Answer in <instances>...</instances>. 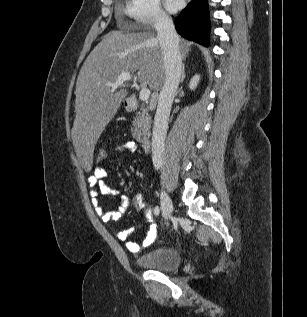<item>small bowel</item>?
<instances>
[{
  "label": "small bowel",
  "instance_id": "c3829d8e",
  "mask_svg": "<svg viewBox=\"0 0 307 317\" xmlns=\"http://www.w3.org/2000/svg\"><path fill=\"white\" fill-rule=\"evenodd\" d=\"M114 152L119 154H126V153H134L137 152L138 146L134 141H126L124 143L118 144L114 146ZM107 177V170L104 167L96 166L93 168L91 176L88 178V183L91 187V196H92V204L95 208V212L97 216L104 221L105 223H110L112 221L120 220L124 212L128 206V198L122 196L119 202V206L117 209L112 211H105L100 204L99 194L105 196H117L120 192L116 189L110 188L105 179ZM116 237L121 240L125 241L128 237V231H120L113 229ZM157 236V226L155 223L150 224L149 232L143 241L139 243L128 241L126 242V247L129 251L136 253L141 250L142 247L149 246Z\"/></svg>",
  "mask_w": 307,
  "mask_h": 317
}]
</instances>
